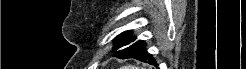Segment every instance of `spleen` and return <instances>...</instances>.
Instances as JSON below:
<instances>
[{
	"label": "spleen",
	"mask_w": 246,
	"mask_h": 69,
	"mask_svg": "<svg viewBox=\"0 0 246 69\" xmlns=\"http://www.w3.org/2000/svg\"><path fill=\"white\" fill-rule=\"evenodd\" d=\"M122 69H139V67H136L135 65H129V66L123 67Z\"/></svg>",
	"instance_id": "1"
}]
</instances>
